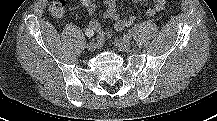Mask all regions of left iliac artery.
<instances>
[{"instance_id":"1","label":"left iliac artery","mask_w":217,"mask_h":121,"mask_svg":"<svg viewBox=\"0 0 217 121\" xmlns=\"http://www.w3.org/2000/svg\"><path fill=\"white\" fill-rule=\"evenodd\" d=\"M144 23L134 25L124 37L126 39H131L142 27Z\"/></svg>"}]
</instances>
